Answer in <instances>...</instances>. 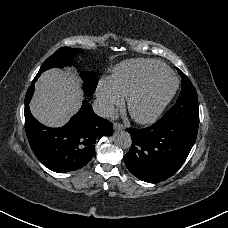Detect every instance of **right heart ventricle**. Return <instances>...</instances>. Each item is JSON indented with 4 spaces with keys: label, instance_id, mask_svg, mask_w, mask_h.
Returning a JSON list of instances; mask_svg holds the SVG:
<instances>
[{
    "label": "right heart ventricle",
    "instance_id": "obj_1",
    "mask_svg": "<svg viewBox=\"0 0 228 228\" xmlns=\"http://www.w3.org/2000/svg\"><path fill=\"white\" fill-rule=\"evenodd\" d=\"M170 70L162 63L150 60L129 61L117 66L111 77L114 87L129 97L144 82L155 77H166Z\"/></svg>",
    "mask_w": 228,
    "mask_h": 228
}]
</instances>
